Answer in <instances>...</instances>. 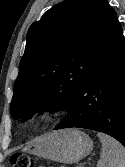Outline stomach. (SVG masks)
<instances>
[{
	"label": "stomach",
	"mask_w": 125,
	"mask_h": 167,
	"mask_svg": "<svg viewBox=\"0 0 125 167\" xmlns=\"http://www.w3.org/2000/svg\"><path fill=\"white\" fill-rule=\"evenodd\" d=\"M93 141L77 129L54 131L38 137L24 150L30 154L62 163H76L91 153Z\"/></svg>",
	"instance_id": "stomach-1"
}]
</instances>
